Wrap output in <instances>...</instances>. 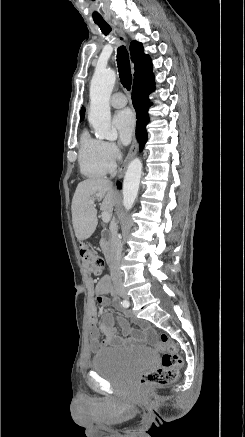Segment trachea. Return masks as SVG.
<instances>
[{
  "mask_svg": "<svg viewBox=\"0 0 245 437\" xmlns=\"http://www.w3.org/2000/svg\"><path fill=\"white\" fill-rule=\"evenodd\" d=\"M95 23L98 24L103 34L108 35L111 31L110 26L106 22L95 21ZM117 64L121 83L127 90H130L132 85V75L129 54L125 46H120L117 49Z\"/></svg>",
  "mask_w": 245,
  "mask_h": 437,
  "instance_id": "3493384b",
  "label": "trachea"
}]
</instances>
